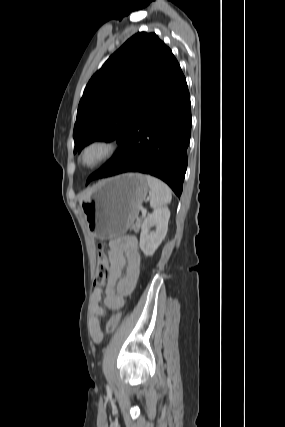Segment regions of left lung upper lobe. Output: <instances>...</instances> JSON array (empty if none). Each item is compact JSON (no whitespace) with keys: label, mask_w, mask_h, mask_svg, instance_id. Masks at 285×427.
Here are the masks:
<instances>
[{"label":"left lung upper lobe","mask_w":285,"mask_h":427,"mask_svg":"<svg viewBox=\"0 0 285 427\" xmlns=\"http://www.w3.org/2000/svg\"><path fill=\"white\" fill-rule=\"evenodd\" d=\"M171 50L155 33L128 39L88 82L74 126V153L95 140L121 144L162 77Z\"/></svg>","instance_id":"obj_1"}]
</instances>
